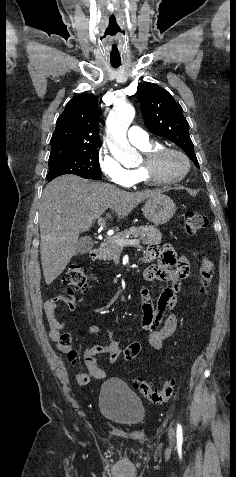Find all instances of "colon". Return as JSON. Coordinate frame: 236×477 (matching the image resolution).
Segmentation results:
<instances>
[{
  "mask_svg": "<svg viewBox=\"0 0 236 477\" xmlns=\"http://www.w3.org/2000/svg\"><path fill=\"white\" fill-rule=\"evenodd\" d=\"M185 219V231L188 235H196L199 232L206 229L208 225L207 218L194 210H187L184 213ZM188 270L187 264L184 262L177 265V271L182 274H186ZM214 273V265L212 261L204 257L200 263L199 269V282L201 286V292L206 295L211 287L212 278ZM63 282L69 293L81 292L84 293L89 289L90 280L86 274L83 266L79 264L69 265L67 271L63 275ZM61 343L69 345L70 336L67 333H62L60 337ZM141 349L139 343H131L125 347L122 353V357L126 361H131L137 357ZM76 352L71 351L69 353V360L75 361ZM139 392L146 397L149 401L155 404H163L174 398L178 389V383L175 379H167L160 388H155L151 384L138 381L136 384Z\"/></svg>",
  "mask_w": 236,
  "mask_h": 477,
  "instance_id": "1",
  "label": "colon"
}]
</instances>
